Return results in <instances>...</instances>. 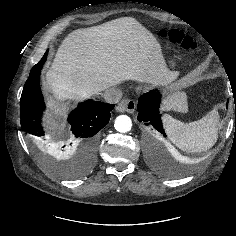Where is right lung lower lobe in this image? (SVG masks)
Wrapping results in <instances>:
<instances>
[{"label":"right lung lower lobe","mask_w":236,"mask_h":236,"mask_svg":"<svg viewBox=\"0 0 236 236\" xmlns=\"http://www.w3.org/2000/svg\"><path fill=\"white\" fill-rule=\"evenodd\" d=\"M48 51L30 71L20 100L21 127L48 151H62L71 154L76 151L85 160L94 156L97 146L96 134L109 122L114 104L87 100L80 103L68 117L70 131L60 138L47 137L41 126L45 109L39 86L40 72L47 59Z\"/></svg>","instance_id":"right-lung-lower-lobe-1"}]
</instances>
